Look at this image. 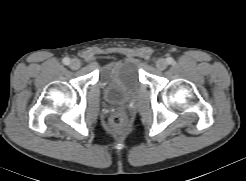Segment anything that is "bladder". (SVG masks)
<instances>
[{
    "instance_id": "bladder-1",
    "label": "bladder",
    "mask_w": 246,
    "mask_h": 181,
    "mask_svg": "<svg viewBox=\"0 0 246 181\" xmlns=\"http://www.w3.org/2000/svg\"><path fill=\"white\" fill-rule=\"evenodd\" d=\"M102 76L110 101L124 99L140 85L138 66L130 60H119L108 64L103 70Z\"/></svg>"
}]
</instances>
